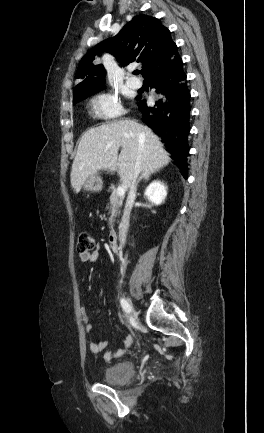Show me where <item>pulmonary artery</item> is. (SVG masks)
Returning <instances> with one entry per match:
<instances>
[{"label":"pulmonary artery","instance_id":"e3ab8cb5","mask_svg":"<svg viewBox=\"0 0 264 433\" xmlns=\"http://www.w3.org/2000/svg\"><path fill=\"white\" fill-rule=\"evenodd\" d=\"M127 85L133 89H138L141 87V81L134 77H131L127 79Z\"/></svg>","mask_w":264,"mask_h":433}]
</instances>
